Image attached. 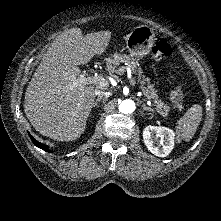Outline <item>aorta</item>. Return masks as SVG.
Returning a JSON list of instances; mask_svg holds the SVG:
<instances>
[{
	"label": "aorta",
	"mask_w": 221,
	"mask_h": 221,
	"mask_svg": "<svg viewBox=\"0 0 221 221\" xmlns=\"http://www.w3.org/2000/svg\"><path fill=\"white\" fill-rule=\"evenodd\" d=\"M118 109L123 114H131L135 110V103L130 99L123 100L119 103Z\"/></svg>",
	"instance_id": "762f6f07"
}]
</instances>
